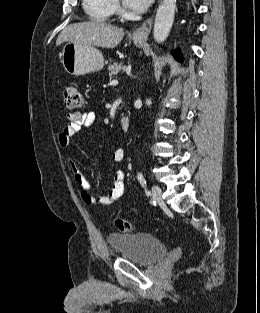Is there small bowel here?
Returning <instances> with one entry per match:
<instances>
[{
  "instance_id": "c3829d8e",
  "label": "small bowel",
  "mask_w": 260,
  "mask_h": 313,
  "mask_svg": "<svg viewBox=\"0 0 260 313\" xmlns=\"http://www.w3.org/2000/svg\"><path fill=\"white\" fill-rule=\"evenodd\" d=\"M68 124L57 136L58 145L61 148H67L74 135L83 128L91 127L96 123V114L94 112H74L68 115ZM115 163H120L125 159V151L122 148L116 149L111 155ZM70 168L74 181L80 187V195L87 205H111L117 202L125 191V174L119 171L115 174L112 188L109 194L101 197H95L92 193L89 182L80 171L73 158H69Z\"/></svg>"
}]
</instances>
